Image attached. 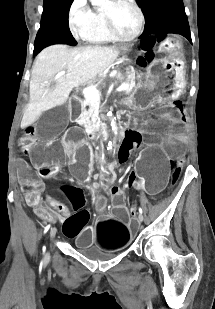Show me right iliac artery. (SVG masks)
<instances>
[{
	"label": "right iliac artery",
	"instance_id": "obj_1",
	"mask_svg": "<svg viewBox=\"0 0 215 309\" xmlns=\"http://www.w3.org/2000/svg\"><path fill=\"white\" fill-rule=\"evenodd\" d=\"M49 228H50V225H47L44 229V233H46L49 230Z\"/></svg>",
	"mask_w": 215,
	"mask_h": 309
}]
</instances>
